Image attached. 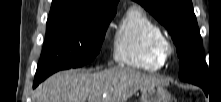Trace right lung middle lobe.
I'll return each mask as SVG.
<instances>
[{"label": "right lung middle lobe", "mask_w": 221, "mask_h": 102, "mask_svg": "<svg viewBox=\"0 0 221 102\" xmlns=\"http://www.w3.org/2000/svg\"><path fill=\"white\" fill-rule=\"evenodd\" d=\"M115 14L116 10L50 13L35 80L43 81L58 70L91 62Z\"/></svg>", "instance_id": "right-lung-middle-lobe-1"}]
</instances>
